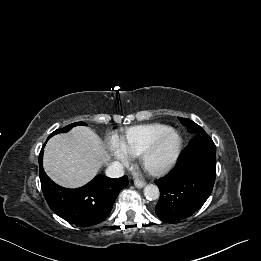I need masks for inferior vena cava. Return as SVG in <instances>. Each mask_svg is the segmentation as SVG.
Listing matches in <instances>:
<instances>
[{"label": "inferior vena cava", "instance_id": "obj_1", "mask_svg": "<svg viewBox=\"0 0 261 261\" xmlns=\"http://www.w3.org/2000/svg\"><path fill=\"white\" fill-rule=\"evenodd\" d=\"M105 174L110 178H119L124 175V167L120 162H112L106 168Z\"/></svg>", "mask_w": 261, "mask_h": 261}]
</instances>
